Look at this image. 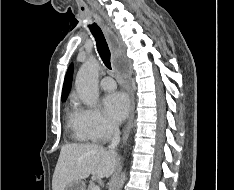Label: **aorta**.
I'll list each match as a JSON object with an SVG mask.
<instances>
[{
  "label": "aorta",
  "instance_id": "aorta-1",
  "mask_svg": "<svg viewBox=\"0 0 234 190\" xmlns=\"http://www.w3.org/2000/svg\"><path fill=\"white\" fill-rule=\"evenodd\" d=\"M99 68V62L94 58H90L81 66L76 76L75 86L79 97L85 105L90 107H94L99 98ZM125 180L126 175L123 172L118 182V189L123 187Z\"/></svg>",
  "mask_w": 234,
  "mask_h": 190
}]
</instances>
